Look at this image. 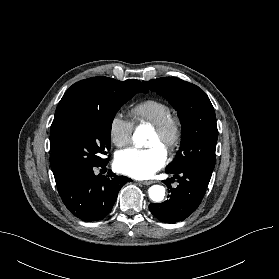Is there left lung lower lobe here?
Returning a JSON list of instances; mask_svg holds the SVG:
<instances>
[{"instance_id":"obj_1","label":"left lung lower lobe","mask_w":279,"mask_h":279,"mask_svg":"<svg viewBox=\"0 0 279 279\" xmlns=\"http://www.w3.org/2000/svg\"><path fill=\"white\" fill-rule=\"evenodd\" d=\"M174 174L179 185L176 188L171 187V180L168 178L163 182L170 189L168 200L160 204L151 203L149 209L151 213L166 223H176L183 221L193 213L200 205L210 178H207L192 170H180L177 172L166 171Z\"/></svg>"}]
</instances>
